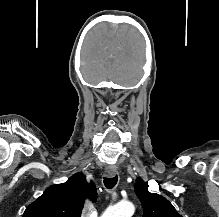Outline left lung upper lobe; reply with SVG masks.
Listing matches in <instances>:
<instances>
[{"label":"left lung upper lobe","mask_w":219,"mask_h":217,"mask_svg":"<svg viewBox=\"0 0 219 217\" xmlns=\"http://www.w3.org/2000/svg\"><path fill=\"white\" fill-rule=\"evenodd\" d=\"M147 187L142 179L137 178L135 192L143 206V217H182L166 198L150 193Z\"/></svg>","instance_id":"left-lung-upper-lobe-1"}]
</instances>
